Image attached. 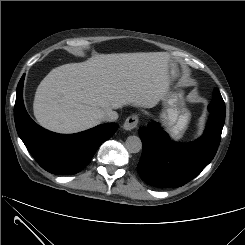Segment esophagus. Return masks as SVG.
<instances>
[{"label":"esophagus","instance_id":"34e87169","mask_svg":"<svg viewBox=\"0 0 245 245\" xmlns=\"http://www.w3.org/2000/svg\"><path fill=\"white\" fill-rule=\"evenodd\" d=\"M139 118L136 114L130 115L124 122L123 128L127 131L133 130L138 125Z\"/></svg>","mask_w":245,"mask_h":245}]
</instances>
